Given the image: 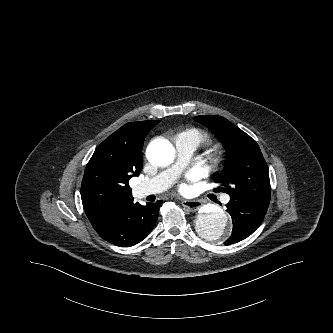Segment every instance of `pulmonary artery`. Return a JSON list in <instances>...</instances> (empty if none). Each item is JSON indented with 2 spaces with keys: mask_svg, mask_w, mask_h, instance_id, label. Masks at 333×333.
<instances>
[{
  "mask_svg": "<svg viewBox=\"0 0 333 333\" xmlns=\"http://www.w3.org/2000/svg\"><path fill=\"white\" fill-rule=\"evenodd\" d=\"M199 142L191 137L179 135L175 140V146L178 152L177 162L167 170L161 172L152 179L141 182L137 185L135 191L139 197L160 193L166 190L186 165L189 158L198 148ZM229 197L225 198L228 201Z\"/></svg>",
  "mask_w": 333,
  "mask_h": 333,
  "instance_id": "1",
  "label": "pulmonary artery"
}]
</instances>
